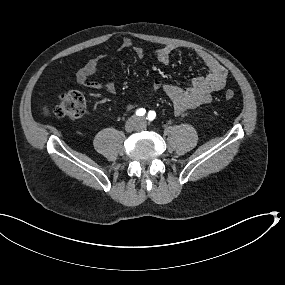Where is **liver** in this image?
<instances>
[{
	"label": "liver",
	"mask_w": 285,
	"mask_h": 285,
	"mask_svg": "<svg viewBox=\"0 0 285 285\" xmlns=\"http://www.w3.org/2000/svg\"><path fill=\"white\" fill-rule=\"evenodd\" d=\"M44 114L48 115V109L46 107L43 108Z\"/></svg>",
	"instance_id": "6515ba94"
}]
</instances>
